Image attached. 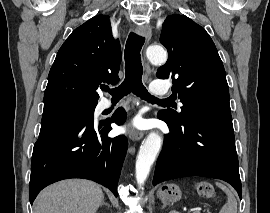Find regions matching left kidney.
I'll return each instance as SVG.
<instances>
[{"label":"left kidney","instance_id":"obj_1","mask_svg":"<svg viewBox=\"0 0 270 213\" xmlns=\"http://www.w3.org/2000/svg\"><path fill=\"white\" fill-rule=\"evenodd\" d=\"M169 213H179V212H177V211H171V212H169Z\"/></svg>","mask_w":270,"mask_h":213}]
</instances>
